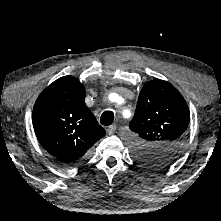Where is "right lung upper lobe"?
Instances as JSON below:
<instances>
[{"label": "right lung upper lobe", "instance_id": "cb5924a9", "mask_svg": "<svg viewBox=\"0 0 221 221\" xmlns=\"http://www.w3.org/2000/svg\"><path fill=\"white\" fill-rule=\"evenodd\" d=\"M85 95L78 79L65 76L44 89L33 108V127L39 142L66 164L83 159L106 134L86 106Z\"/></svg>", "mask_w": 221, "mask_h": 221}]
</instances>
